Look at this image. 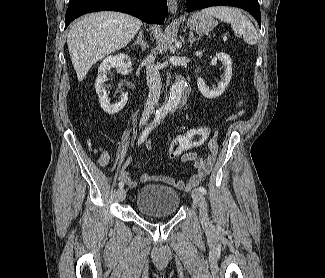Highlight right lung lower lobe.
<instances>
[{
	"label": "right lung lower lobe",
	"mask_w": 325,
	"mask_h": 278,
	"mask_svg": "<svg viewBox=\"0 0 325 278\" xmlns=\"http://www.w3.org/2000/svg\"><path fill=\"white\" fill-rule=\"evenodd\" d=\"M100 10L124 12L154 24H163L168 14L167 0H70L65 16V28L75 18Z\"/></svg>",
	"instance_id": "right-lung-lower-lobe-1"
}]
</instances>
